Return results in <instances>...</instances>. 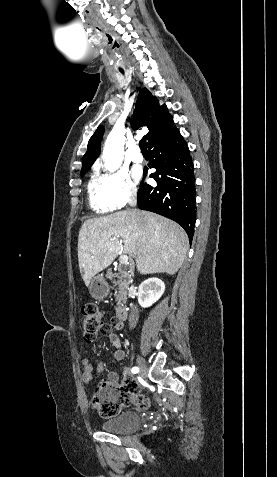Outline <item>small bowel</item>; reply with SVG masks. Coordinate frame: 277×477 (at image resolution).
I'll list each match as a JSON object with an SVG mask.
<instances>
[{"instance_id":"obj_1","label":"small bowel","mask_w":277,"mask_h":477,"mask_svg":"<svg viewBox=\"0 0 277 477\" xmlns=\"http://www.w3.org/2000/svg\"><path fill=\"white\" fill-rule=\"evenodd\" d=\"M123 324L117 318H112L110 324H102L101 333L106 336L109 342L114 346L113 357L115 360H122L125 357V351L122 347L121 341L119 336L113 331V329H121ZM82 367H83V374H82V381L84 384L89 385L94 380V368L89 358L84 357L81 360ZM105 363L101 362L97 366V372H102L104 370ZM125 381H132L137 386L138 384L129 377L128 371L125 370L124 372ZM109 381L118 383L120 379V375L118 373L112 372L108 376ZM139 388V387H138Z\"/></svg>"}]
</instances>
